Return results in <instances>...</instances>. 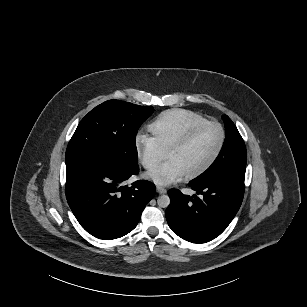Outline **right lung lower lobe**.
<instances>
[{"label": "right lung lower lobe", "instance_id": "1", "mask_svg": "<svg viewBox=\"0 0 307 307\" xmlns=\"http://www.w3.org/2000/svg\"><path fill=\"white\" fill-rule=\"evenodd\" d=\"M66 171L68 204L81 226L99 239H116L132 231L155 195L154 184L146 180L119 187L139 168L94 159L71 163Z\"/></svg>", "mask_w": 307, "mask_h": 307}]
</instances>
